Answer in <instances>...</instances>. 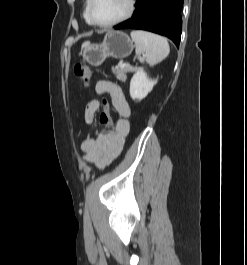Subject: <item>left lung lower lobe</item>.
<instances>
[{
    "instance_id": "1",
    "label": "left lung lower lobe",
    "mask_w": 247,
    "mask_h": 265,
    "mask_svg": "<svg viewBox=\"0 0 247 265\" xmlns=\"http://www.w3.org/2000/svg\"><path fill=\"white\" fill-rule=\"evenodd\" d=\"M183 0H136L133 16L115 29L133 28L151 31L170 38L179 47Z\"/></svg>"
}]
</instances>
